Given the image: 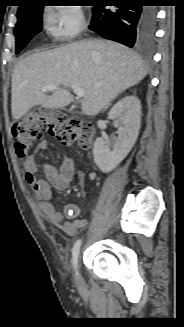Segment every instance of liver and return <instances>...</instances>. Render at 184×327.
Wrapping results in <instances>:
<instances>
[{"label": "liver", "mask_w": 184, "mask_h": 327, "mask_svg": "<svg viewBox=\"0 0 184 327\" xmlns=\"http://www.w3.org/2000/svg\"><path fill=\"white\" fill-rule=\"evenodd\" d=\"M147 70L133 50L113 41L84 39L23 58L12 74V116H24L32 107L60 109L70 104L65 87L85 90L82 112L97 115L121 92L139 83ZM57 84L51 95L45 85ZM64 87V88H62Z\"/></svg>", "instance_id": "6515ba94"}]
</instances>
